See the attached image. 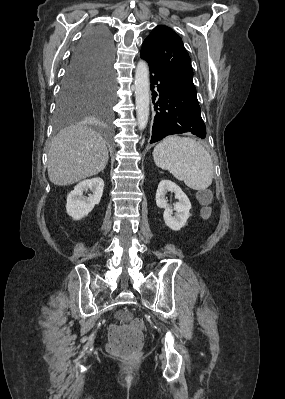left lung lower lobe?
Instances as JSON below:
<instances>
[{
    "instance_id": "left-lung-lower-lobe-1",
    "label": "left lung lower lobe",
    "mask_w": 285,
    "mask_h": 399,
    "mask_svg": "<svg viewBox=\"0 0 285 399\" xmlns=\"http://www.w3.org/2000/svg\"><path fill=\"white\" fill-rule=\"evenodd\" d=\"M140 56L149 64L152 99L155 102L156 112L150 143L157 142L167 135L186 132L205 138L206 127L201 118L197 98L150 60L144 52H140Z\"/></svg>"
}]
</instances>
